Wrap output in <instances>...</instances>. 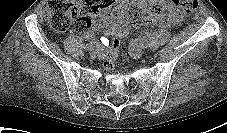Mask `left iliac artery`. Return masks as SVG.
I'll return each instance as SVG.
<instances>
[{
	"label": "left iliac artery",
	"mask_w": 227,
	"mask_h": 133,
	"mask_svg": "<svg viewBox=\"0 0 227 133\" xmlns=\"http://www.w3.org/2000/svg\"><path fill=\"white\" fill-rule=\"evenodd\" d=\"M132 43L137 45V46H139V47H141V48H147V44H146L145 41L136 39V40H133Z\"/></svg>",
	"instance_id": "left-iliac-artery-1"
}]
</instances>
